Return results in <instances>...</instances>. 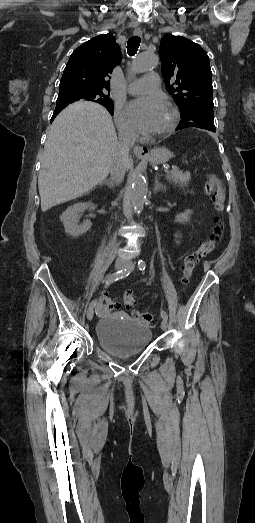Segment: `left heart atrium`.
Returning a JSON list of instances; mask_svg holds the SVG:
<instances>
[{
    "label": "left heart atrium",
    "instance_id": "1",
    "mask_svg": "<svg viewBox=\"0 0 255 523\" xmlns=\"http://www.w3.org/2000/svg\"><path fill=\"white\" fill-rule=\"evenodd\" d=\"M162 106L157 97H144L131 102L127 108L130 121L140 131L146 132L150 129L152 120Z\"/></svg>",
    "mask_w": 255,
    "mask_h": 523
}]
</instances>
